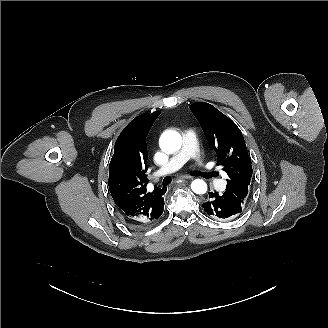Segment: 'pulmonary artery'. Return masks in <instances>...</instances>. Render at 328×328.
<instances>
[{
  "instance_id": "1",
  "label": "pulmonary artery",
  "mask_w": 328,
  "mask_h": 328,
  "mask_svg": "<svg viewBox=\"0 0 328 328\" xmlns=\"http://www.w3.org/2000/svg\"><path fill=\"white\" fill-rule=\"evenodd\" d=\"M184 145L174 154V156L162 167L163 173H170L174 168L182 170L186 167L189 159L192 157L194 162L199 164L201 170L207 176L210 182L215 183L219 179L218 173L205 160L204 155L197 147L201 143V138L191 129H184L182 132Z\"/></svg>"
}]
</instances>
